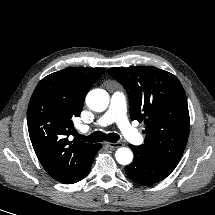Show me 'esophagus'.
<instances>
[{
  "label": "esophagus",
  "mask_w": 215,
  "mask_h": 215,
  "mask_svg": "<svg viewBox=\"0 0 215 215\" xmlns=\"http://www.w3.org/2000/svg\"><path fill=\"white\" fill-rule=\"evenodd\" d=\"M105 144H106V146H108L111 149H115V148H119V147L123 146V143H121V142H115V143L106 142Z\"/></svg>",
  "instance_id": "esophagus-1"
}]
</instances>
